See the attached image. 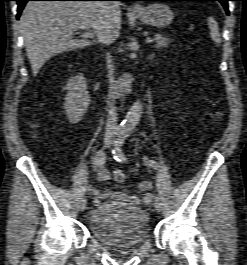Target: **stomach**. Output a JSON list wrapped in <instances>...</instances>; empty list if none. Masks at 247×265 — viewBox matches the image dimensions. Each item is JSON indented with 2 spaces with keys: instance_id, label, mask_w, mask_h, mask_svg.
Returning a JSON list of instances; mask_svg holds the SVG:
<instances>
[{
  "instance_id": "1",
  "label": "stomach",
  "mask_w": 247,
  "mask_h": 265,
  "mask_svg": "<svg viewBox=\"0 0 247 265\" xmlns=\"http://www.w3.org/2000/svg\"><path fill=\"white\" fill-rule=\"evenodd\" d=\"M134 15L143 23L158 28L168 26L174 19L170 7L163 3H153L134 12Z\"/></svg>"
}]
</instances>
